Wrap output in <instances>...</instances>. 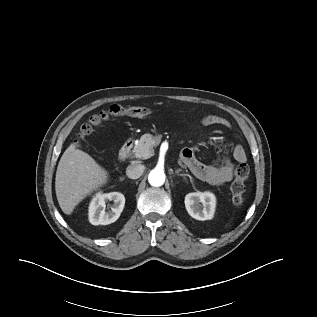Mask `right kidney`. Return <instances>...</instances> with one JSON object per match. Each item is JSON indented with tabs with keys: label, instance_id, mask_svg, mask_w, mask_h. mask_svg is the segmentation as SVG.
I'll use <instances>...</instances> for the list:
<instances>
[{
	"label": "right kidney",
	"instance_id": "ca27d5eb",
	"mask_svg": "<svg viewBox=\"0 0 317 317\" xmlns=\"http://www.w3.org/2000/svg\"><path fill=\"white\" fill-rule=\"evenodd\" d=\"M113 201L109 211H105L106 203ZM125 205V197L122 193L111 192L101 193L98 192L89 204V221L93 225H108L115 222Z\"/></svg>",
	"mask_w": 317,
	"mask_h": 317
}]
</instances>
